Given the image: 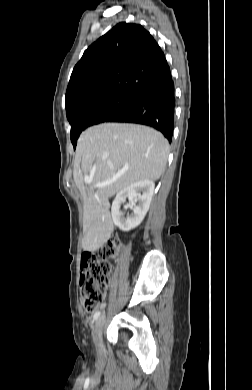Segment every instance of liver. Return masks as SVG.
<instances>
[{"mask_svg":"<svg viewBox=\"0 0 252 390\" xmlns=\"http://www.w3.org/2000/svg\"><path fill=\"white\" fill-rule=\"evenodd\" d=\"M168 153V141L147 126L103 123L81 134L73 177L84 202L83 250L95 252L111 237L114 225L108 199L135 182L158 180ZM85 176L92 182L86 183ZM115 178L112 184L96 187Z\"/></svg>","mask_w":252,"mask_h":390,"instance_id":"1","label":"liver"}]
</instances>
